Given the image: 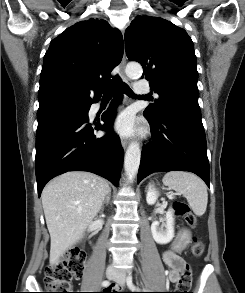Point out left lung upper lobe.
Here are the masks:
<instances>
[{
	"label": "left lung upper lobe",
	"mask_w": 245,
	"mask_h": 293,
	"mask_svg": "<svg viewBox=\"0 0 245 293\" xmlns=\"http://www.w3.org/2000/svg\"><path fill=\"white\" fill-rule=\"evenodd\" d=\"M125 47L159 95L145 113L158 117L165 109L178 108L200 115L196 56L184 29L162 18L137 16L125 31Z\"/></svg>",
	"instance_id": "left-lung-upper-lobe-1"
}]
</instances>
